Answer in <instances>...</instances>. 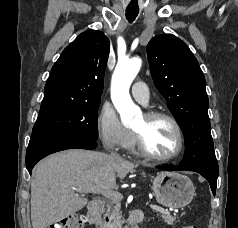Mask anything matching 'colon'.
Here are the masks:
<instances>
[{
	"instance_id": "5ec220e1",
	"label": "colon",
	"mask_w": 238,
	"mask_h": 228,
	"mask_svg": "<svg viewBox=\"0 0 238 228\" xmlns=\"http://www.w3.org/2000/svg\"><path fill=\"white\" fill-rule=\"evenodd\" d=\"M86 221V217L81 214L71 215L55 224L50 225L48 228H82ZM181 228H198L194 225H186Z\"/></svg>"
}]
</instances>
